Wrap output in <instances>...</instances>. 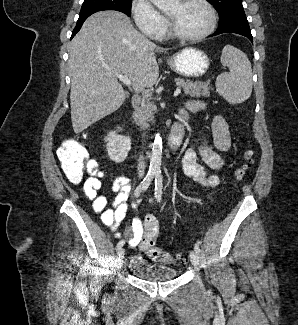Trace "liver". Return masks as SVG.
Here are the masks:
<instances>
[{
	"mask_svg": "<svg viewBox=\"0 0 298 325\" xmlns=\"http://www.w3.org/2000/svg\"><path fill=\"white\" fill-rule=\"evenodd\" d=\"M169 48L138 32L129 16L118 10H100L85 20L69 46L71 120L74 132L122 106L126 92L117 74L129 76L134 92L156 84V52Z\"/></svg>",
	"mask_w": 298,
	"mask_h": 325,
	"instance_id": "6515ba94",
	"label": "liver"
}]
</instances>
